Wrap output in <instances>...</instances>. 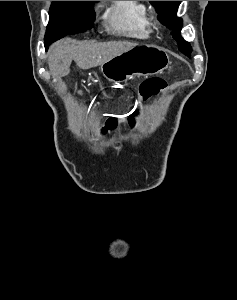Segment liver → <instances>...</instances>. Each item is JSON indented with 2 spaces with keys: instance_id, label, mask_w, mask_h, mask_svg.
<instances>
[{
  "instance_id": "obj_1",
  "label": "liver",
  "mask_w": 237,
  "mask_h": 300,
  "mask_svg": "<svg viewBox=\"0 0 237 300\" xmlns=\"http://www.w3.org/2000/svg\"><path fill=\"white\" fill-rule=\"evenodd\" d=\"M71 39L58 41L48 51V65L53 77H65L70 73V65L75 61L80 69H92L103 65L120 53L137 47V43L129 41H108V43H89L83 41L78 45H70Z\"/></svg>"
}]
</instances>
